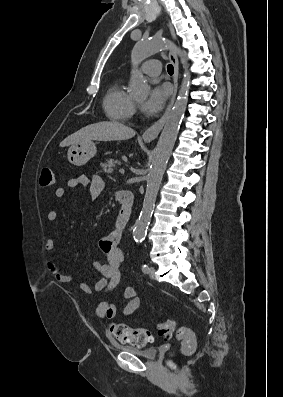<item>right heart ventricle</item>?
I'll return each mask as SVG.
<instances>
[{
    "label": "right heart ventricle",
    "instance_id": "1",
    "mask_svg": "<svg viewBox=\"0 0 283 397\" xmlns=\"http://www.w3.org/2000/svg\"><path fill=\"white\" fill-rule=\"evenodd\" d=\"M132 100L124 90L121 80L113 82L106 91L103 106L106 116L116 122H124L129 118Z\"/></svg>",
    "mask_w": 283,
    "mask_h": 397
}]
</instances>
